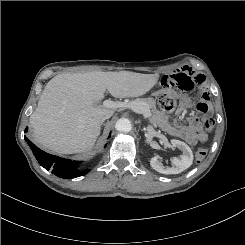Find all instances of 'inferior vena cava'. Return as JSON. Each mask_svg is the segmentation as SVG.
Wrapping results in <instances>:
<instances>
[{"mask_svg": "<svg viewBox=\"0 0 245 245\" xmlns=\"http://www.w3.org/2000/svg\"><path fill=\"white\" fill-rule=\"evenodd\" d=\"M112 116V114H106L103 118H102V122H104L106 119H109Z\"/></svg>", "mask_w": 245, "mask_h": 245, "instance_id": "obj_1", "label": "inferior vena cava"}]
</instances>
